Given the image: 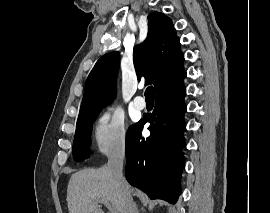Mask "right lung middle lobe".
Returning <instances> with one entry per match:
<instances>
[{
    "instance_id": "1",
    "label": "right lung middle lobe",
    "mask_w": 270,
    "mask_h": 213,
    "mask_svg": "<svg viewBox=\"0 0 270 213\" xmlns=\"http://www.w3.org/2000/svg\"><path fill=\"white\" fill-rule=\"evenodd\" d=\"M98 113L77 121L76 132L73 143V156L75 161H82L86 158L90 144V132L92 124ZM130 129V128H129Z\"/></svg>"
}]
</instances>
